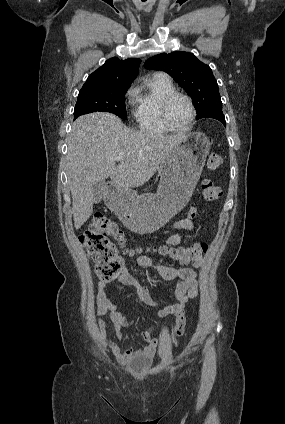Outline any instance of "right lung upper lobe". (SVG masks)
Wrapping results in <instances>:
<instances>
[{"instance_id": "1", "label": "right lung upper lobe", "mask_w": 285, "mask_h": 424, "mask_svg": "<svg viewBox=\"0 0 285 424\" xmlns=\"http://www.w3.org/2000/svg\"><path fill=\"white\" fill-rule=\"evenodd\" d=\"M140 63L138 58H111L89 75L82 88L130 85L138 75Z\"/></svg>"}]
</instances>
